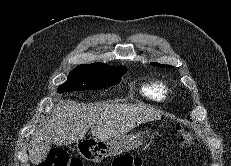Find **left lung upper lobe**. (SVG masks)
Wrapping results in <instances>:
<instances>
[{
  "label": "left lung upper lobe",
  "mask_w": 231,
  "mask_h": 166,
  "mask_svg": "<svg viewBox=\"0 0 231 166\" xmlns=\"http://www.w3.org/2000/svg\"><path fill=\"white\" fill-rule=\"evenodd\" d=\"M151 64L159 66V67H171L170 65H163V64H159V63H151Z\"/></svg>",
  "instance_id": "5c2ea615"
}]
</instances>
